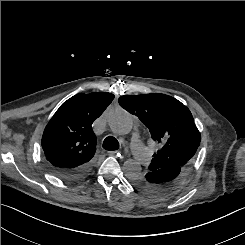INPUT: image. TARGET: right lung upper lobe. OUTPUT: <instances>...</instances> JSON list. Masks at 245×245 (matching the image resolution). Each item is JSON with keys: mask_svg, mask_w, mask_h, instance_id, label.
Listing matches in <instances>:
<instances>
[{"mask_svg": "<svg viewBox=\"0 0 245 245\" xmlns=\"http://www.w3.org/2000/svg\"><path fill=\"white\" fill-rule=\"evenodd\" d=\"M113 99L107 92L79 93L59 107L41 141L49 166L74 169L92 162L96 136L91 125Z\"/></svg>", "mask_w": 245, "mask_h": 245, "instance_id": "cb5924a9", "label": "right lung upper lobe"}]
</instances>
